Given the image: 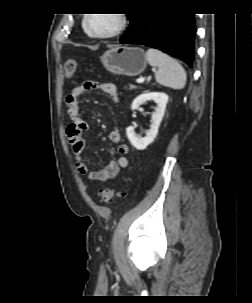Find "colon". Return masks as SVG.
<instances>
[{
    "label": "colon",
    "mask_w": 252,
    "mask_h": 303,
    "mask_svg": "<svg viewBox=\"0 0 252 303\" xmlns=\"http://www.w3.org/2000/svg\"><path fill=\"white\" fill-rule=\"evenodd\" d=\"M78 67V62L74 59H68L65 62V75L67 78H72ZM123 195L121 192H117L113 189L103 188L100 190V197L105 204H111L117 200L119 196Z\"/></svg>",
    "instance_id": "obj_1"
}]
</instances>
